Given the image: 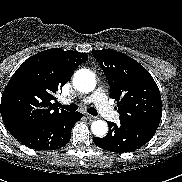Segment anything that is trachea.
<instances>
[{"instance_id":"obj_1","label":"trachea","mask_w":182,"mask_h":182,"mask_svg":"<svg viewBox=\"0 0 182 182\" xmlns=\"http://www.w3.org/2000/svg\"><path fill=\"white\" fill-rule=\"evenodd\" d=\"M59 107L62 108V109H65V110H68V111H71V112H74L78 109V106L77 104H70V105H61L59 104ZM87 112L93 116H96L97 115V111L93 108V107H90V108H87Z\"/></svg>"}]
</instances>
